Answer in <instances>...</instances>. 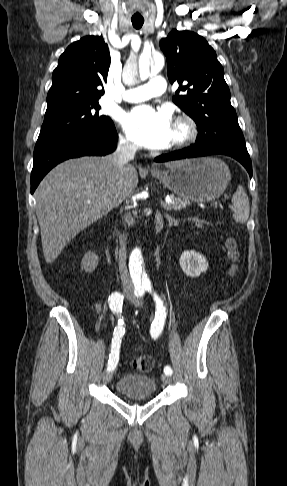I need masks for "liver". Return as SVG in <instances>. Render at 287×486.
Wrapping results in <instances>:
<instances>
[{
  "label": "liver",
  "instance_id": "1",
  "mask_svg": "<svg viewBox=\"0 0 287 486\" xmlns=\"http://www.w3.org/2000/svg\"><path fill=\"white\" fill-rule=\"evenodd\" d=\"M180 162L165 166L173 168ZM137 185L135 167L128 164L120 175L111 156L70 159L52 169L35 192L45 261L53 263L78 233L107 215Z\"/></svg>",
  "mask_w": 287,
  "mask_h": 486
}]
</instances>
